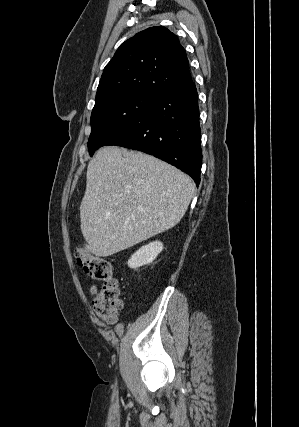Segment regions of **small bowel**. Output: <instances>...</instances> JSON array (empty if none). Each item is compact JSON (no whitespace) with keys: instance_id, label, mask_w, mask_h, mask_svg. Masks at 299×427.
<instances>
[{"instance_id":"c3829d8e","label":"small bowel","mask_w":299,"mask_h":427,"mask_svg":"<svg viewBox=\"0 0 299 427\" xmlns=\"http://www.w3.org/2000/svg\"><path fill=\"white\" fill-rule=\"evenodd\" d=\"M96 291H97V287H96L95 285H92V286L90 287V293H91L92 295H94V294L96 293Z\"/></svg>"}]
</instances>
